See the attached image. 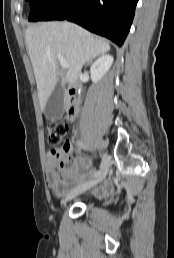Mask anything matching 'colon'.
Returning <instances> with one entry per match:
<instances>
[{"label": "colon", "mask_w": 174, "mask_h": 258, "mask_svg": "<svg viewBox=\"0 0 174 258\" xmlns=\"http://www.w3.org/2000/svg\"><path fill=\"white\" fill-rule=\"evenodd\" d=\"M46 131L49 144L55 147L50 152L51 157L59 162L61 173L64 175L72 173L74 165L71 159L67 157L69 144L66 142L61 145L68 133V125L63 122H50L46 126Z\"/></svg>", "instance_id": "obj_1"}]
</instances>
